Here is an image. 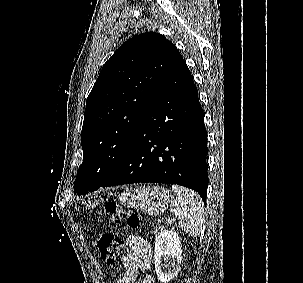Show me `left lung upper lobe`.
<instances>
[{
	"label": "left lung upper lobe",
	"mask_w": 303,
	"mask_h": 283,
	"mask_svg": "<svg viewBox=\"0 0 303 283\" xmlns=\"http://www.w3.org/2000/svg\"><path fill=\"white\" fill-rule=\"evenodd\" d=\"M179 54L165 36L142 33L122 44L104 64L86 102L83 163L74 182L77 194L99 188L116 172Z\"/></svg>",
	"instance_id": "left-lung-upper-lobe-1"
}]
</instances>
